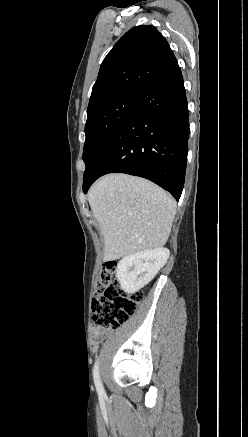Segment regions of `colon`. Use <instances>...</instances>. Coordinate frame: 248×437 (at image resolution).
I'll list each match as a JSON object with an SVG mask.
<instances>
[{
    "instance_id": "1",
    "label": "colon",
    "mask_w": 248,
    "mask_h": 437,
    "mask_svg": "<svg viewBox=\"0 0 248 437\" xmlns=\"http://www.w3.org/2000/svg\"><path fill=\"white\" fill-rule=\"evenodd\" d=\"M142 298L141 292L125 293L119 286L115 264H105L92 298L94 326L101 329L121 326L137 311Z\"/></svg>"
}]
</instances>
